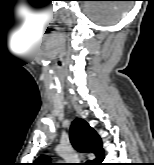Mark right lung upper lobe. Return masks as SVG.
I'll return each mask as SVG.
<instances>
[{"label":"right lung upper lobe","mask_w":154,"mask_h":165,"mask_svg":"<svg viewBox=\"0 0 154 165\" xmlns=\"http://www.w3.org/2000/svg\"><path fill=\"white\" fill-rule=\"evenodd\" d=\"M70 141L80 152L98 154L102 144L96 131L83 119H76L70 128ZM33 165H54L48 156H40Z\"/></svg>","instance_id":"right-lung-upper-lobe-1"}]
</instances>
